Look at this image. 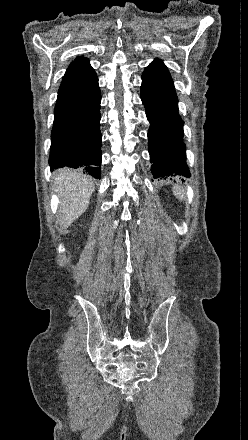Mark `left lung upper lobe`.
<instances>
[{
  "label": "left lung upper lobe",
  "mask_w": 248,
  "mask_h": 440,
  "mask_svg": "<svg viewBox=\"0 0 248 440\" xmlns=\"http://www.w3.org/2000/svg\"><path fill=\"white\" fill-rule=\"evenodd\" d=\"M142 77L152 82L164 83L174 87L167 67L159 59H155L154 62L145 68Z\"/></svg>",
  "instance_id": "obj_1"
}]
</instances>
